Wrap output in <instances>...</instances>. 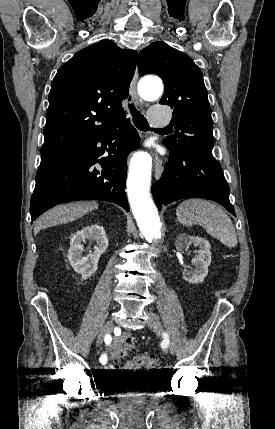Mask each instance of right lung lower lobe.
I'll return each instance as SVG.
<instances>
[{
  "label": "right lung lower lobe",
  "instance_id": "right-lung-lower-lobe-1",
  "mask_svg": "<svg viewBox=\"0 0 275 429\" xmlns=\"http://www.w3.org/2000/svg\"><path fill=\"white\" fill-rule=\"evenodd\" d=\"M138 146V133L127 119L116 128L42 156L31 197V219L75 200H104L129 211L124 190L127 156Z\"/></svg>",
  "mask_w": 275,
  "mask_h": 429
}]
</instances>
